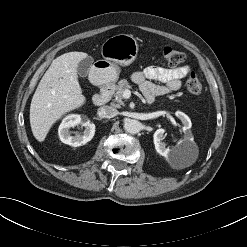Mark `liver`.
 <instances>
[{
    "mask_svg": "<svg viewBox=\"0 0 247 247\" xmlns=\"http://www.w3.org/2000/svg\"><path fill=\"white\" fill-rule=\"evenodd\" d=\"M86 57L84 52L65 53L52 61L40 80L30 105V125L37 141H44L64 114L85 104L77 67Z\"/></svg>",
    "mask_w": 247,
    "mask_h": 247,
    "instance_id": "6515ba94",
    "label": "liver"
}]
</instances>
